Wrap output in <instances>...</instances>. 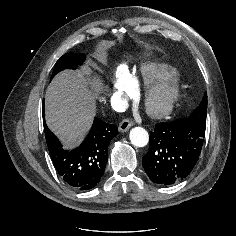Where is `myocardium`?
Instances as JSON below:
<instances>
[{"instance_id":"f54148a6","label":"myocardium","mask_w":236,"mask_h":236,"mask_svg":"<svg viewBox=\"0 0 236 236\" xmlns=\"http://www.w3.org/2000/svg\"><path fill=\"white\" fill-rule=\"evenodd\" d=\"M176 79H164L148 84L142 92V103L146 113L153 118L169 115L180 99Z\"/></svg>"}]
</instances>
